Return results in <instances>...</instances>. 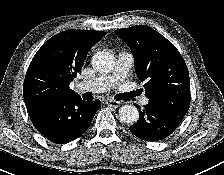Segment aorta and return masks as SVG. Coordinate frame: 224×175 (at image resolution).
<instances>
[{"mask_svg": "<svg viewBox=\"0 0 224 175\" xmlns=\"http://www.w3.org/2000/svg\"><path fill=\"white\" fill-rule=\"evenodd\" d=\"M92 66L101 72H110L115 67V58L108 51H99L92 57ZM119 119L123 123L133 124L139 119L138 109L131 105H124L119 109Z\"/></svg>", "mask_w": 224, "mask_h": 175, "instance_id": "aorta-1", "label": "aorta"}]
</instances>
